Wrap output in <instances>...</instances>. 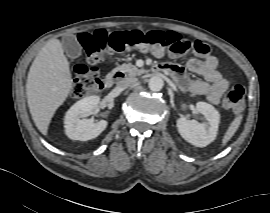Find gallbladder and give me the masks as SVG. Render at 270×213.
I'll use <instances>...</instances> for the list:
<instances>
[{"mask_svg": "<svg viewBox=\"0 0 270 213\" xmlns=\"http://www.w3.org/2000/svg\"><path fill=\"white\" fill-rule=\"evenodd\" d=\"M62 44L70 58H77L81 55L82 48L75 35H67L62 38Z\"/></svg>", "mask_w": 270, "mask_h": 213, "instance_id": "bac80fb5", "label": "gallbladder"}]
</instances>
